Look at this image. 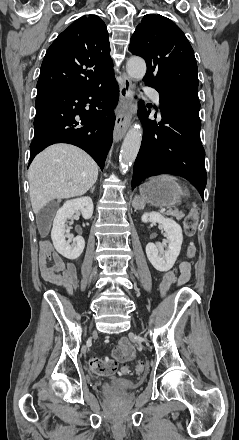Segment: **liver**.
I'll use <instances>...</instances> for the list:
<instances>
[{
	"label": "liver",
	"instance_id": "obj_1",
	"mask_svg": "<svg viewBox=\"0 0 239 440\" xmlns=\"http://www.w3.org/2000/svg\"><path fill=\"white\" fill-rule=\"evenodd\" d=\"M98 178V166L86 152L54 144L34 158L29 170L30 202L34 214L51 200L83 196Z\"/></svg>",
	"mask_w": 239,
	"mask_h": 440
}]
</instances>
